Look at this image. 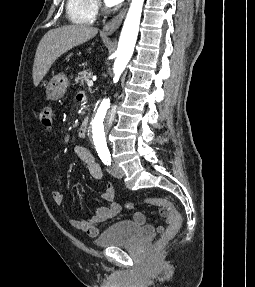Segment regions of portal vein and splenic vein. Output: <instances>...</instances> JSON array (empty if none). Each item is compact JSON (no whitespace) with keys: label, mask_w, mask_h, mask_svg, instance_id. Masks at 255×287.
<instances>
[{"label":"portal vein and splenic vein","mask_w":255,"mask_h":287,"mask_svg":"<svg viewBox=\"0 0 255 287\" xmlns=\"http://www.w3.org/2000/svg\"><path fill=\"white\" fill-rule=\"evenodd\" d=\"M93 82H95V80H87L88 88H91V86H93Z\"/></svg>","instance_id":"obj_1"}]
</instances>
